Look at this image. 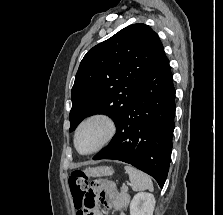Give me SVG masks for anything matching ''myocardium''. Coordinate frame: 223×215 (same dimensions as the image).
<instances>
[{
	"instance_id": "myocardium-1",
	"label": "myocardium",
	"mask_w": 223,
	"mask_h": 215,
	"mask_svg": "<svg viewBox=\"0 0 223 215\" xmlns=\"http://www.w3.org/2000/svg\"><path fill=\"white\" fill-rule=\"evenodd\" d=\"M92 123H97V124H101L104 127V136L102 138V140L99 142V144L94 147L92 150L87 151V152H82L78 149L77 147V136L80 132V130L88 125V124H92ZM116 124L114 122V120L107 114L105 113H95L92 114L90 116H88L87 118H85L84 120H82L78 126L75 129L74 132V136H73V143H74V147L76 149V151L83 156H88V155H92L95 154L99 151H101L103 148H105L114 138L115 134H116Z\"/></svg>"
}]
</instances>
